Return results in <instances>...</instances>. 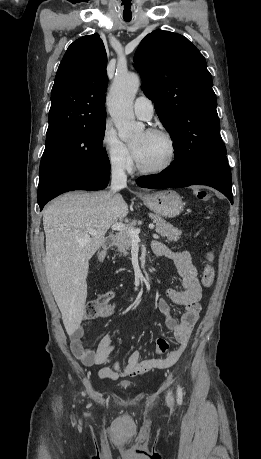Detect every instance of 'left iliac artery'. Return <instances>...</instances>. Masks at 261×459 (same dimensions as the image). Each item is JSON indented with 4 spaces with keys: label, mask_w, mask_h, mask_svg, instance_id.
Segmentation results:
<instances>
[{
    "label": "left iliac artery",
    "mask_w": 261,
    "mask_h": 459,
    "mask_svg": "<svg viewBox=\"0 0 261 459\" xmlns=\"http://www.w3.org/2000/svg\"><path fill=\"white\" fill-rule=\"evenodd\" d=\"M177 401L179 404L182 403V396H183V393H182V388L180 386H178V389H177Z\"/></svg>",
    "instance_id": "left-iliac-artery-1"
}]
</instances>
